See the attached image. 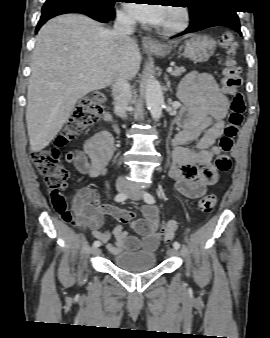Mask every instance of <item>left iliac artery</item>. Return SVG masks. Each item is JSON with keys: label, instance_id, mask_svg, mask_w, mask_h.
Segmentation results:
<instances>
[{"label": "left iliac artery", "instance_id": "44dca946", "mask_svg": "<svg viewBox=\"0 0 270 338\" xmlns=\"http://www.w3.org/2000/svg\"><path fill=\"white\" fill-rule=\"evenodd\" d=\"M144 201H145L146 203L153 204V203H155V198H154L153 195H151L150 193H145V194H144ZM173 247H174L175 249H179V248H180V244H179L177 241H175V242L173 243Z\"/></svg>", "mask_w": 270, "mask_h": 338}]
</instances>
